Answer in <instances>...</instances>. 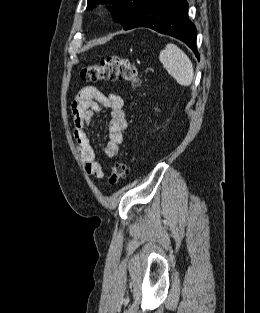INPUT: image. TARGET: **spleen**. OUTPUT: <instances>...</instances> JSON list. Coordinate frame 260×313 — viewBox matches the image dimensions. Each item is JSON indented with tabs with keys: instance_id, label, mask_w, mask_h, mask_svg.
<instances>
[{
	"instance_id": "spleen-1",
	"label": "spleen",
	"mask_w": 260,
	"mask_h": 313,
	"mask_svg": "<svg viewBox=\"0 0 260 313\" xmlns=\"http://www.w3.org/2000/svg\"><path fill=\"white\" fill-rule=\"evenodd\" d=\"M159 60L178 84L191 85L194 78L193 65L189 57L177 45L167 44L160 52Z\"/></svg>"
}]
</instances>
